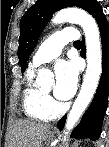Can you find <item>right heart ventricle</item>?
Returning <instances> with one entry per match:
<instances>
[{
    "label": "right heart ventricle",
    "mask_w": 109,
    "mask_h": 147,
    "mask_svg": "<svg viewBox=\"0 0 109 147\" xmlns=\"http://www.w3.org/2000/svg\"><path fill=\"white\" fill-rule=\"evenodd\" d=\"M35 67L30 66L25 74L23 108L32 119L45 121L51 118L54 109L47 105V98L34 82Z\"/></svg>",
    "instance_id": "obj_1"
}]
</instances>
